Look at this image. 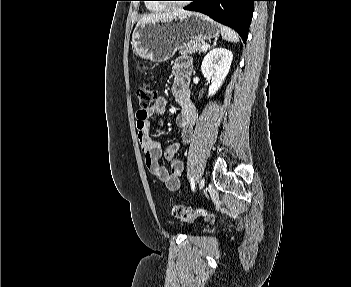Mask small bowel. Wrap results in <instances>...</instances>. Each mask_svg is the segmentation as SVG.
Masks as SVG:
<instances>
[{
	"label": "small bowel",
	"mask_w": 351,
	"mask_h": 287,
	"mask_svg": "<svg viewBox=\"0 0 351 287\" xmlns=\"http://www.w3.org/2000/svg\"><path fill=\"white\" fill-rule=\"evenodd\" d=\"M190 62L188 59H181L173 65L174 83L172 93L179 104L181 111L177 116L176 123L182 130V138L185 143H190L193 138V130L197 120L196 109L190 99L188 86ZM167 100L159 96L147 108H140L137 111L136 128L141 148L145 154V163L149 171L162 181L170 190H176L180 186V178L184 172L183 163L176 158L179 144L175 143L168 147L151 136L152 122L154 115H161L166 111ZM170 162V169L160 165L161 158Z\"/></svg>",
	"instance_id": "obj_1"
}]
</instances>
